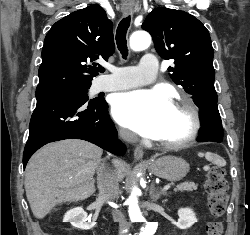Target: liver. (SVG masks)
<instances>
[{"instance_id": "6515ba94", "label": "liver", "mask_w": 250, "mask_h": 235, "mask_svg": "<svg viewBox=\"0 0 250 235\" xmlns=\"http://www.w3.org/2000/svg\"><path fill=\"white\" fill-rule=\"evenodd\" d=\"M102 153L101 148L77 139L51 143L35 153L27 164L24 183L33 215L42 219L58 204L90 197ZM113 164L118 181L123 180L127 164L119 160Z\"/></svg>"}]
</instances>
